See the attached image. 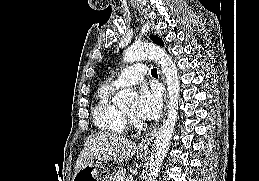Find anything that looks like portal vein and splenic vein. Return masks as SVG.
<instances>
[{"instance_id":"1","label":"portal vein and splenic vein","mask_w":259,"mask_h":181,"mask_svg":"<svg viewBox=\"0 0 259 181\" xmlns=\"http://www.w3.org/2000/svg\"><path fill=\"white\" fill-rule=\"evenodd\" d=\"M119 181H124V178H121Z\"/></svg>"}]
</instances>
